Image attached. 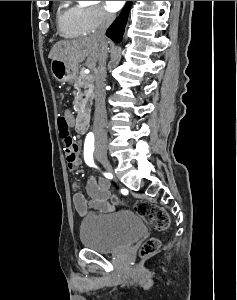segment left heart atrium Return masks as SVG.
I'll use <instances>...</instances> for the list:
<instances>
[{
    "label": "left heart atrium",
    "instance_id": "obj_1",
    "mask_svg": "<svg viewBox=\"0 0 237 300\" xmlns=\"http://www.w3.org/2000/svg\"><path fill=\"white\" fill-rule=\"evenodd\" d=\"M125 1H105L107 9L116 12L124 5Z\"/></svg>",
    "mask_w": 237,
    "mask_h": 300
}]
</instances>
